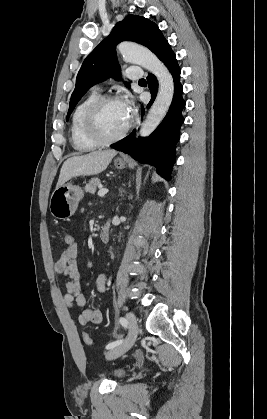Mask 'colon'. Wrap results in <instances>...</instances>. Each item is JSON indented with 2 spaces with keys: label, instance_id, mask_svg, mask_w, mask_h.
<instances>
[{
  "label": "colon",
  "instance_id": "1",
  "mask_svg": "<svg viewBox=\"0 0 267 419\" xmlns=\"http://www.w3.org/2000/svg\"><path fill=\"white\" fill-rule=\"evenodd\" d=\"M63 242L66 246V248H69L75 244L74 236L67 232L63 235ZM83 340L86 344H91V337L88 333L83 334Z\"/></svg>",
  "mask_w": 267,
  "mask_h": 419
}]
</instances>
